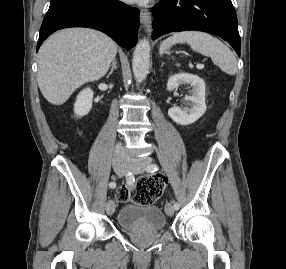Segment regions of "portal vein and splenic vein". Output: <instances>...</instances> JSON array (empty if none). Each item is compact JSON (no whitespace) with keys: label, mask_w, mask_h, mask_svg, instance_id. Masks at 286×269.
Instances as JSON below:
<instances>
[{"label":"portal vein and splenic vein","mask_w":286,"mask_h":269,"mask_svg":"<svg viewBox=\"0 0 286 269\" xmlns=\"http://www.w3.org/2000/svg\"><path fill=\"white\" fill-rule=\"evenodd\" d=\"M198 69H203L204 68V64H197L196 66Z\"/></svg>","instance_id":"18ae733b"}]
</instances>
